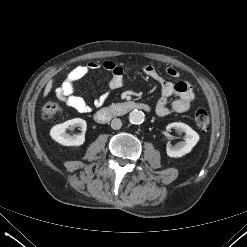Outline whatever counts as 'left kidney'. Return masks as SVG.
Listing matches in <instances>:
<instances>
[{
  "label": "left kidney",
  "instance_id": "1",
  "mask_svg": "<svg viewBox=\"0 0 247 247\" xmlns=\"http://www.w3.org/2000/svg\"><path fill=\"white\" fill-rule=\"evenodd\" d=\"M171 128L179 132H184L186 134L185 142L178 143L174 147H171L170 143H167V155L172 158H179L191 152L193 147L199 141V135L196 131H194L190 126L182 122H174L167 126V130L169 131Z\"/></svg>",
  "mask_w": 247,
  "mask_h": 247
}]
</instances>
